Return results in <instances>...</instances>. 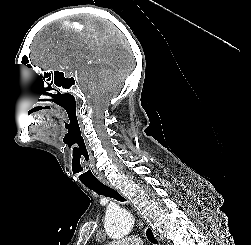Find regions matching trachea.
<instances>
[{"mask_svg":"<svg viewBox=\"0 0 251 245\" xmlns=\"http://www.w3.org/2000/svg\"><path fill=\"white\" fill-rule=\"evenodd\" d=\"M84 185L95 191L96 193L106 196V197H111L113 199H116L118 201H125V199L114 189H112L111 187L103 184L102 182L98 181V182H93V183H84ZM146 236L148 238V240L151 243L157 244L158 241L156 240V238L153 235V232L151 231V229H147L146 231Z\"/></svg>","mask_w":251,"mask_h":245,"instance_id":"1","label":"trachea"}]
</instances>
